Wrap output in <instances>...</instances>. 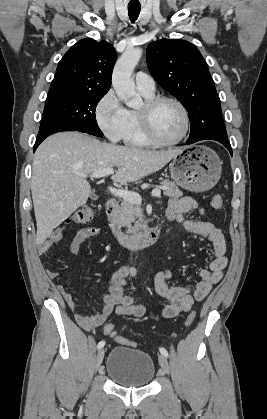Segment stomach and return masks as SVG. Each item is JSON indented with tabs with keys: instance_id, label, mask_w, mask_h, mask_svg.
Instances as JSON below:
<instances>
[{
	"instance_id": "0dacf381",
	"label": "stomach",
	"mask_w": 267,
	"mask_h": 419,
	"mask_svg": "<svg viewBox=\"0 0 267 419\" xmlns=\"http://www.w3.org/2000/svg\"><path fill=\"white\" fill-rule=\"evenodd\" d=\"M222 162L216 152L203 145L182 148L170 164L172 179L192 192L211 189L221 176Z\"/></svg>"
}]
</instances>
